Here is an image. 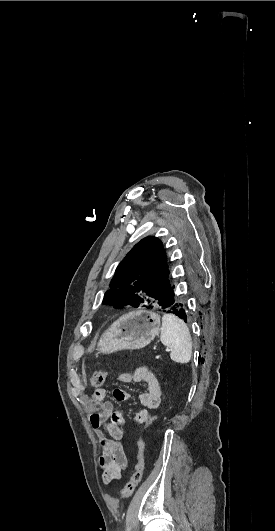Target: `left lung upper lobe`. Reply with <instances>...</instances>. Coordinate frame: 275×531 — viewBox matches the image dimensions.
I'll return each instance as SVG.
<instances>
[{"label":"left lung upper lobe","mask_w":275,"mask_h":531,"mask_svg":"<svg viewBox=\"0 0 275 531\" xmlns=\"http://www.w3.org/2000/svg\"><path fill=\"white\" fill-rule=\"evenodd\" d=\"M168 276L161 241L146 237L118 265L103 304L114 308L167 307L174 299V286L171 287Z\"/></svg>","instance_id":"5c2ea615"}]
</instances>
